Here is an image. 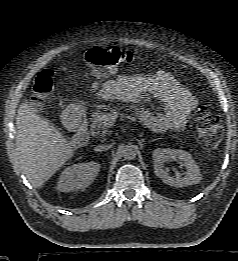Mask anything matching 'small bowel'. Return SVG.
<instances>
[{"label": "small bowel", "instance_id": "c3829d8e", "mask_svg": "<svg viewBox=\"0 0 238 261\" xmlns=\"http://www.w3.org/2000/svg\"><path fill=\"white\" fill-rule=\"evenodd\" d=\"M89 90L101 100L131 104L140 121L157 132L183 129L197 105L196 97L165 71L151 76L120 75L103 83L94 82ZM152 99L162 105L156 113L143 108Z\"/></svg>", "mask_w": 238, "mask_h": 261}]
</instances>
